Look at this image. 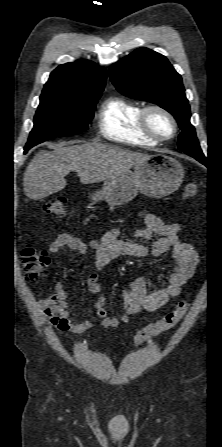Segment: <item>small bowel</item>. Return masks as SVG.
<instances>
[{
    "instance_id": "small-bowel-1",
    "label": "small bowel",
    "mask_w": 222,
    "mask_h": 447,
    "mask_svg": "<svg viewBox=\"0 0 222 447\" xmlns=\"http://www.w3.org/2000/svg\"><path fill=\"white\" fill-rule=\"evenodd\" d=\"M139 216L145 222L146 228L136 230L134 237L147 244L122 240L119 238L120 229L113 228L100 239L91 240L88 244L70 233H62L49 245V251L52 254L59 253L63 248L79 253H84L88 247L91 248L95 252V269L88 273L86 282L91 292L99 294L93 312L100 321L95 322L89 318L92 311L71 312L69 310L68 292L63 287V281H58L55 292L38 302L40 309L54 327L73 333H84L95 327L115 328L126 323L130 317L135 316L142 309L156 311L165 306L171 298L180 294L181 287L194 274L198 262L197 253L190 244L181 239L179 223L166 222L147 211H141ZM167 252H171L173 257L172 263L167 268V282H160L157 289L147 292L143 278L138 277L132 280L124 293V315L121 318L109 316L104 307L105 298L101 294L98 272L112 260L120 257H160Z\"/></svg>"
}]
</instances>
